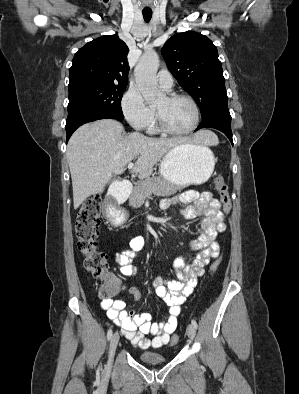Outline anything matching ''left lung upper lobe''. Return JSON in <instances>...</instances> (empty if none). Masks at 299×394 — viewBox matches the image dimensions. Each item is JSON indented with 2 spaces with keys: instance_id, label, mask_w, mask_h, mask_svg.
<instances>
[{
  "instance_id": "obj_1",
  "label": "left lung upper lobe",
  "mask_w": 299,
  "mask_h": 394,
  "mask_svg": "<svg viewBox=\"0 0 299 394\" xmlns=\"http://www.w3.org/2000/svg\"><path fill=\"white\" fill-rule=\"evenodd\" d=\"M161 52L170 72L196 101L202 118L228 109L222 65L208 37L191 31L177 33Z\"/></svg>"
}]
</instances>
